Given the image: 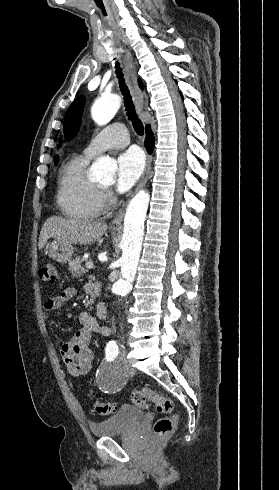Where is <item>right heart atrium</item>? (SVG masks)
<instances>
[{
  "label": "right heart atrium",
  "instance_id": "1",
  "mask_svg": "<svg viewBox=\"0 0 279 490\" xmlns=\"http://www.w3.org/2000/svg\"><path fill=\"white\" fill-rule=\"evenodd\" d=\"M109 197H110V193L108 190L102 191V197H101L102 205H104L109 200Z\"/></svg>",
  "mask_w": 279,
  "mask_h": 490
}]
</instances>
